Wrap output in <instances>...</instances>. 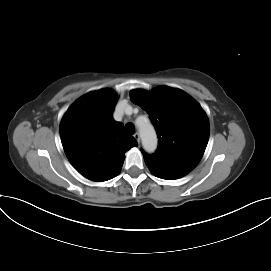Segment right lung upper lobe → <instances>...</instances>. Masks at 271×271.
<instances>
[{"instance_id":"cb5924a9","label":"right lung upper lobe","mask_w":271,"mask_h":271,"mask_svg":"<svg viewBox=\"0 0 271 271\" xmlns=\"http://www.w3.org/2000/svg\"><path fill=\"white\" fill-rule=\"evenodd\" d=\"M117 94L110 89L90 92L79 98L65 113L60 124L64 151L74 168L92 181L117 176L124 153L137 142L123 132L112 113Z\"/></svg>"}]
</instances>
